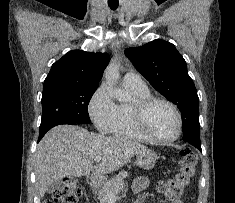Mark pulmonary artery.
Wrapping results in <instances>:
<instances>
[{
	"mask_svg": "<svg viewBox=\"0 0 235 203\" xmlns=\"http://www.w3.org/2000/svg\"><path fill=\"white\" fill-rule=\"evenodd\" d=\"M123 83L126 86H131L134 88H139V89L147 88L141 76L134 72H127L123 77Z\"/></svg>",
	"mask_w": 235,
	"mask_h": 203,
	"instance_id": "1",
	"label": "pulmonary artery"
}]
</instances>
